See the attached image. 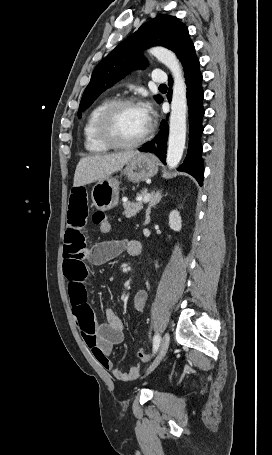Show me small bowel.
I'll list each match as a JSON object with an SVG mask.
<instances>
[{
  "mask_svg": "<svg viewBox=\"0 0 272 455\" xmlns=\"http://www.w3.org/2000/svg\"><path fill=\"white\" fill-rule=\"evenodd\" d=\"M87 215L86 190L77 186L70 194L63 251L64 275L68 281L72 314L86 345L99 364L117 380H133L140 375L139 366L124 372L116 368L110 359L113 347L124 339V324L111 308L105 310L104 323L97 321L89 301L87 278L91 265L105 263L124 252L136 258L141 254V245L135 240H107L88 246L84 236ZM147 300V292L138 290L133 296L132 305L135 310L142 311Z\"/></svg>",
  "mask_w": 272,
  "mask_h": 455,
  "instance_id": "small-bowel-1",
  "label": "small bowel"
}]
</instances>
